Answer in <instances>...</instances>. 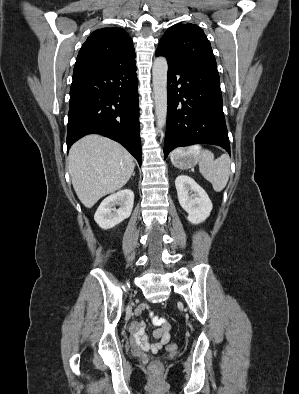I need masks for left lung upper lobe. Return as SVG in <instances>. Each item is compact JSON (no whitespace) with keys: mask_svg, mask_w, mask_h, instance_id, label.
Returning <instances> with one entry per match:
<instances>
[{"mask_svg":"<svg viewBox=\"0 0 299 394\" xmlns=\"http://www.w3.org/2000/svg\"><path fill=\"white\" fill-rule=\"evenodd\" d=\"M156 54L176 65L206 64L216 66L209 40L194 24H176L159 41Z\"/></svg>","mask_w":299,"mask_h":394,"instance_id":"5c2ea615","label":"left lung upper lobe"}]
</instances>
